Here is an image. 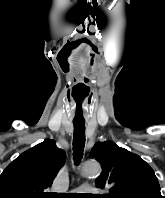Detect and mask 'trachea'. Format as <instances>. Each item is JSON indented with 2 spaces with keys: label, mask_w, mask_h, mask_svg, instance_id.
<instances>
[{
  "label": "trachea",
  "mask_w": 165,
  "mask_h": 198,
  "mask_svg": "<svg viewBox=\"0 0 165 198\" xmlns=\"http://www.w3.org/2000/svg\"><path fill=\"white\" fill-rule=\"evenodd\" d=\"M85 146V123L74 122V134H73V155L74 160L78 164L82 158L83 150Z\"/></svg>",
  "instance_id": "obj_1"
}]
</instances>
